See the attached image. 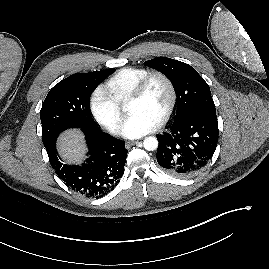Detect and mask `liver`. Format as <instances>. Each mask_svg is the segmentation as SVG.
I'll return each instance as SVG.
<instances>
[{
    "mask_svg": "<svg viewBox=\"0 0 269 269\" xmlns=\"http://www.w3.org/2000/svg\"><path fill=\"white\" fill-rule=\"evenodd\" d=\"M83 135L77 130L65 132L59 140V150L69 162H79L83 156Z\"/></svg>",
    "mask_w": 269,
    "mask_h": 269,
    "instance_id": "obj_1",
    "label": "liver"
}]
</instances>
